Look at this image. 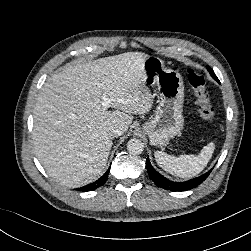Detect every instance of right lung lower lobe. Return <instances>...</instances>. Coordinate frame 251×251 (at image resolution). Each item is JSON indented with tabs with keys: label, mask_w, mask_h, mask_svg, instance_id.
Returning <instances> with one entry per match:
<instances>
[{
	"label": "right lung lower lobe",
	"mask_w": 251,
	"mask_h": 251,
	"mask_svg": "<svg viewBox=\"0 0 251 251\" xmlns=\"http://www.w3.org/2000/svg\"><path fill=\"white\" fill-rule=\"evenodd\" d=\"M110 169H108L105 174L99 178L97 181L88 184L86 186H83L80 188L81 191H92L95 190L97 188H99L100 186H102L108 179V175H109Z\"/></svg>",
	"instance_id": "obj_1"
}]
</instances>
